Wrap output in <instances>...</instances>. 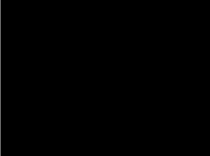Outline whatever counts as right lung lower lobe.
Returning <instances> with one entry per match:
<instances>
[{
  "label": "right lung lower lobe",
  "mask_w": 210,
  "mask_h": 156,
  "mask_svg": "<svg viewBox=\"0 0 210 156\" xmlns=\"http://www.w3.org/2000/svg\"><path fill=\"white\" fill-rule=\"evenodd\" d=\"M79 135H76V136H66V137L59 138V139L60 140H63V141H73V140L77 139L79 137Z\"/></svg>",
  "instance_id": "98d812e1"
}]
</instances>
